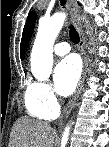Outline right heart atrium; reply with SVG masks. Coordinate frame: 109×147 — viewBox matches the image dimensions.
<instances>
[{"mask_svg": "<svg viewBox=\"0 0 109 147\" xmlns=\"http://www.w3.org/2000/svg\"><path fill=\"white\" fill-rule=\"evenodd\" d=\"M30 95L34 101L50 112H57L59 109L57 98L51 89V87L42 82H36L33 84Z\"/></svg>", "mask_w": 109, "mask_h": 147, "instance_id": "right-heart-atrium-1", "label": "right heart atrium"}]
</instances>
